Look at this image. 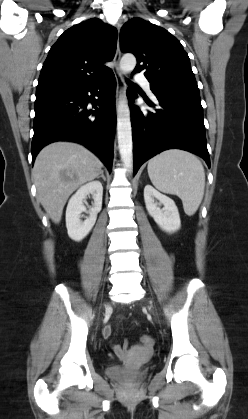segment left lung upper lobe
<instances>
[{
	"instance_id": "1",
	"label": "left lung upper lobe",
	"mask_w": 248,
	"mask_h": 419,
	"mask_svg": "<svg viewBox=\"0 0 248 419\" xmlns=\"http://www.w3.org/2000/svg\"><path fill=\"white\" fill-rule=\"evenodd\" d=\"M120 46L123 52L135 55L134 73L145 70L154 94L199 95L188 54L164 28L133 18L121 29Z\"/></svg>"
}]
</instances>
